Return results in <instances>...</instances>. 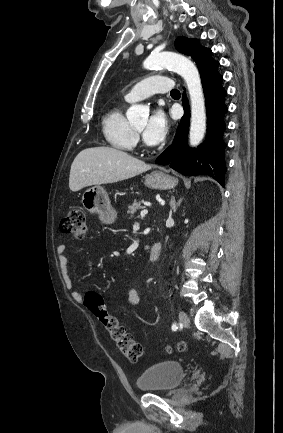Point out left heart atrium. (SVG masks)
<instances>
[{
	"label": "left heart atrium",
	"mask_w": 283,
	"mask_h": 433,
	"mask_svg": "<svg viewBox=\"0 0 283 433\" xmlns=\"http://www.w3.org/2000/svg\"><path fill=\"white\" fill-rule=\"evenodd\" d=\"M169 123L161 107H156L142 133L148 149H156L167 137Z\"/></svg>",
	"instance_id": "1"
}]
</instances>
